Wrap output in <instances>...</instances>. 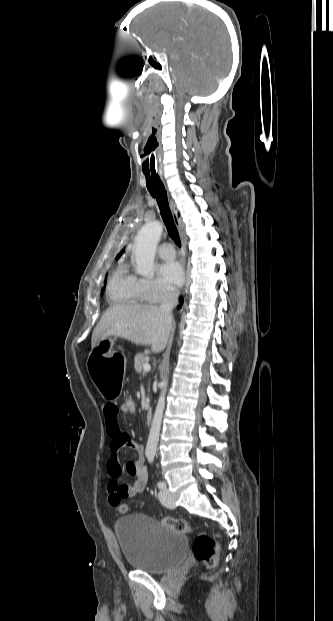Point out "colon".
Segmentation results:
<instances>
[{
	"instance_id": "obj_1",
	"label": "colon",
	"mask_w": 333,
	"mask_h": 621,
	"mask_svg": "<svg viewBox=\"0 0 333 621\" xmlns=\"http://www.w3.org/2000/svg\"><path fill=\"white\" fill-rule=\"evenodd\" d=\"M120 407L123 413L133 415L137 412V401L131 394L123 396L120 399ZM118 510L121 513H125L128 511V506L125 503H120L118 505ZM163 523L182 534H189L192 532L191 525L184 519L165 518ZM219 548L218 542L205 534L198 535L193 543L195 558L202 562L207 568H214L217 566L219 561Z\"/></svg>"
}]
</instances>
